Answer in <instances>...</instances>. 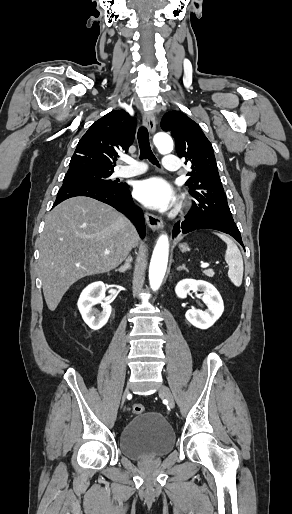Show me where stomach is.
Masks as SVG:
<instances>
[{
	"label": "stomach",
	"mask_w": 292,
	"mask_h": 514,
	"mask_svg": "<svg viewBox=\"0 0 292 514\" xmlns=\"http://www.w3.org/2000/svg\"><path fill=\"white\" fill-rule=\"evenodd\" d=\"M179 248L182 250V252H188L189 250L187 244H180Z\"/></svg>",
	"instance_id": "stomach-1"
}]
</instances>
